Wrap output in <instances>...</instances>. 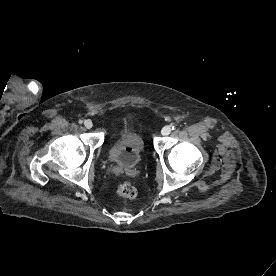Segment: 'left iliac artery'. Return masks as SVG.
Returning <instances> with one entry per match:
<instances>
[{
  "label": "left iliac artery",
  "mask_w": 276,
  "mask_h": 276,
  "mask_svg": "<svg viewBox=\"0 0 276 276\" xmlns=\"http://www.w3.org/2000/svg\"><path fill=\"white\" fill-rule=\"evenodd\" d=\"M171 127H172V130L176 129V125H171Z\"/></svg>",
  "instance_id": "1"
}]
</instances>
